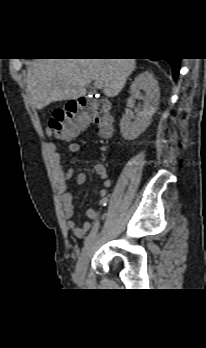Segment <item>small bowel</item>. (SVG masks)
<instances>
[{"mask_svg":"<svg viewBox=\"0 0 206 348\" xmlns=\"http://www.w3.org/2000/svg\"><path fill=\"white\" fill-rule=\"evenodd\" d=\"M106 136H109V134ZM68 148L71 152H79L82 149V145L80 143L73 142L69 144ZM47 153L53 170L55 183L58 191L61 194L63 214L66 220L67 228L73 233L74 236L82 237L90 229L91 224L85 222L79 227L74 221L75 197L73 193L67 191V181L74 175V170H64L61 156L55 145H48ZM94 169L102 181L103 189L100 191L99 207L89 208L86 214L89 219H91L94 223H97L101 218L103 208L109 203L108 188L111 186V181L104 165L96 164ZM86 179L87 177L85 173H78L76 176V181L78 184H84Z\"/></svg>","mask_w":206,"mask_h":348,"instance_id":"small-bowel-1","label":"small bowel"}]
</instances>
